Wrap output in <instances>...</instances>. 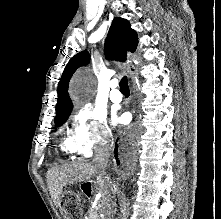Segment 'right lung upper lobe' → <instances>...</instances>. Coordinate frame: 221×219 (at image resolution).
<instances>
[{
	"label": "right lung upper lobe",
	"mask_w": 221,
	"mask_h": 219,
	"mask_svg": "<svg viewBox=\"0 0 221 219\" xmlns=\"http://www.w3.org/2000/svg\"><path fill=\"white\" fill-rule=\"evenodd\" d=\"M138 38L136 32L131 29L130 23L123 18L113 19L108 36L105 41V54L108 59L125 61L128 51L136 50ZM90 61V55L87 51H82L71 58L67 64L61 80L58 85V98L56 104V117L65 114L73 104L68 95V84L70 78L77 68L85 66Z\"/></svg>",
	"instance_id": "cb5924a9"
}]
</instances>
